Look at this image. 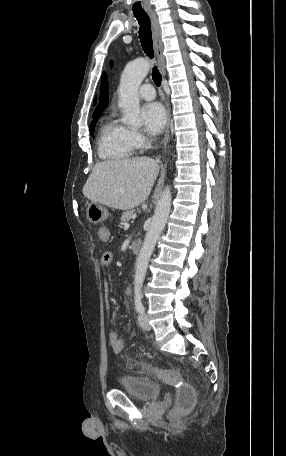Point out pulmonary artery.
<instances>
[{"mask_svg": "<svg viewBox=\"0 0 286 456\" xmlns=\"http://www.w3.org/2000/svg\"><path fill=\"white\" fill-rule=\"evenodd\" d=\"M139 97L143 100H153L156 96L154 87L151 84H143L138 91Z\"/></svg>", "mask_w": 286, "mask_h": 456, "instance_id": "e3ab8cb5", "label": "pulmonary artery"}]
</instances>
